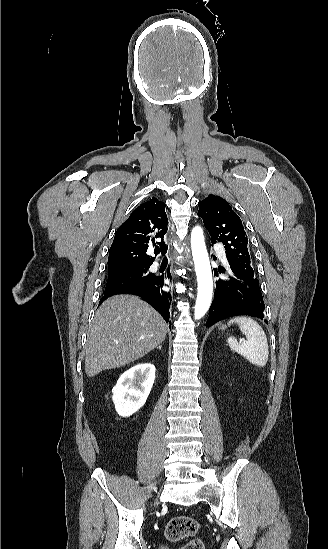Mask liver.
Here are the masks:
<instances>
[{"label": "liver", "instance_id": "6515ba94", "mask_svg": "<svg viewBox=\"0 0 328 549\" xmlns=\"http://www.w3.org/2000/svg\"><path fill=\"white\" fill-rule=\"evenodd\" d=\"M166 335L167 325L151 305L135 295L110 297L97 309L89 327L87 377L141 359L163 343Z\"/></svg>", "mask_w": 328, "mask_h": 549}]
</instances>
